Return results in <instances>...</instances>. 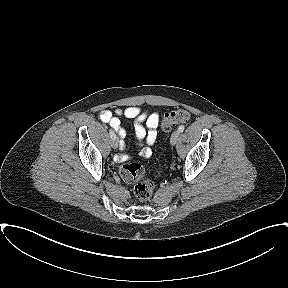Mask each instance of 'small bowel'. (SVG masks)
I'll list each match as a JSON object with an SVG mask.
<instances>
[{"label": "small bowel", "instance_id": "c3829d8e", "mask_svg": "<svg viewBox=\"0 0 288 288\" xmlns=\"http://www.w3.org/2000/svg\"><path fill=\"white\" fill-rule=\"evenodd\" d=\"M126 117L128 119H134V129L137 138V146L140 149L139 156L142 158H149L152 155L151 146L157 139V127L159 124V113L149 112L143 110L140 107L131 106L127 108H117L114 112L110 110H102L99 114L100 119L108 123L112 127L118 136L123 139L126 136V130L122 126L120 117ZM124 142H121L123 149ZM130 159V156L122 152L116 157L117 162H124Z\"/></svg>", "mask_w": 288, "mask_h": 288}]
</instances>
